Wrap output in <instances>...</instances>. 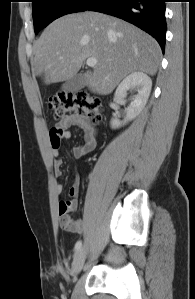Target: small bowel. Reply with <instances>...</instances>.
<instances>
[{
	"label": "small bowel",
	"instance_id": "c3829d8e",
	"mask_svg": "<svg viewBox=\"0 0 195 299\" xmlns=\"http://www.w3.org/2000/svg\"><path fill=\"white\" fill-rule=\"evenodd\" d=\"M72 125L79 126L84 133V143L73 147L71 150L72 156L74 158H81L84 155L92 152L97 145L96 128L87 118L78 115L65 116L49 133V142L52 146V153L54 156V175L56 178H59L62 175V161L58 158L59 146L63 140L71 138V132L69 128ZM63 190V185L57 182L55 184L56 194L61 196ZM77 194L78 188L73 186L69 190L70 199L60 201L59 205V226L61 229L73 233H80L84 227V222L82 219L73 218L70 214L77 207ZM65 209H68L69 211L68 213L63 214Z\"/></svg>",
	"mask_w": 195,
	"mask_h": 299
}]
</instances>
